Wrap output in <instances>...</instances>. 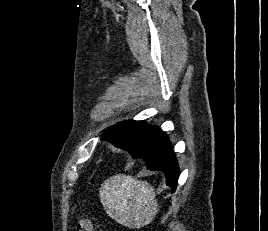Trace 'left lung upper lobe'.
I'll use <instances>...</instances> for the list:
<instances>
[{"label":"left lung upper lobe","mask_w":268,"mask_h":231,"mask_svg":"<svg viewBox=\"0 0 268 231\" xmlns=\"http://www.w3.org/2000/svg\"><path fill=\"white\" fill-rule=\"evenodd\" d=\"M159 128L147 125L142 121H123L104 131V138L109 139L116 147L126 150L149 141Z\"/></svg>","instance_id":"5c2ea615"}]
</instances>
